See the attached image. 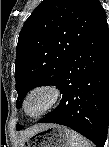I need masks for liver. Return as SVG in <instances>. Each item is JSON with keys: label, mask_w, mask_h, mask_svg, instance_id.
Listing matches in <instances>:
<instances>
[{"label": "liver", "mask_w": 109, "mask_h": 147, "mask_svg": "<svg viewBox=\"0 0 109 147\" xmlns=\"http://www.w3.org/2000/svg\"><path fill=\"white\" fill-rule=\"evenodd\" d=\"M49 124H39V125H35L31 128H28L26 130H24L23 132H21L20 136H21V140H25L28 137L32 136L33 134H35L36 132L42 130L43 128H45L46 126H48Z\"/></svg>", "instance_id": "1"}]
</instances>
